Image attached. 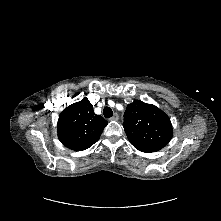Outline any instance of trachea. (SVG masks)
Masks as SVG:
<instances>
[{
    "instance_id": "3493384b",
    "label": "trachea",
    "mask_w": 221,
    "mask_h": 221,
    "mask_svg": "<svg viewBox=\"0 0 221 221\" xmlns=\"http://www.w3.org/2000/svg\"><path fill=\"white\" fill-rule=\"evenodd\" d=\"M103 115H104V117H106V118H110V117L113 115L112 109H111L110 107H105V108L103 109Z\"/></svg>"
}]
</instances>
